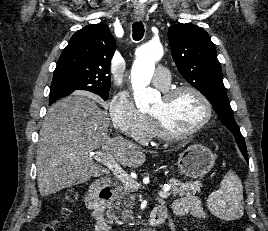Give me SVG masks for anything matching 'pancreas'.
Wrapping results in <instances>:
<instances>
[{
    "mask_svg": "<svg viewBox=\"0 0 268 231\" xmlns=\"http://www.w3.org/2000/svg\"><path fill=\"white\" fill-rule=\"evenodd\" d=\"M169 185L173 196H190L200 192L202 187L200 182L183 183L175 178L169 180ZM131 192L132 189L125 185H119L112 191V197L106 204V215L110 223L123 224L130 217L129 214L132 211L127 208H131L133 205Z\"/></svg>",
    "mask_w": 268,
    "mask_h": 231,
    "instance_id": "obj_1",
    "label": "pancreas"
}]
</instances>
